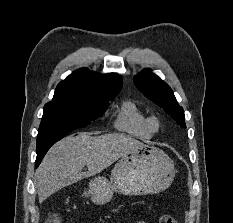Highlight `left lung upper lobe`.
I'll return each mask as SVG.
<instances>
[{"instance_id": "left-lung-upper-lobe-1", "label": "left lung upper lobe", "mask_w": 233, "mask_h": 223, "mask_svg": "<svg viewBox=\"0 0 233 223\" xmlns=\"http://www.w3.org/2000/svg\"><path fill=\"white\" fill-rule=\"evenodd\" d=\"M134 84L148 99L162 107L182 128H186L183 108L179 106L173 91L150 70H144L134 77Z\"/></svg>"}]
</instances>
